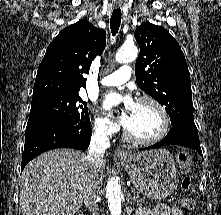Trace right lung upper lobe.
<instances>
[{"instance_id":"obj_1","label":"right lung upper lobe","mask_w":221,"mask_h":215,"mask_svg":"<svg viewBox=\"0 0 221 215\" xmlns=\"http://www.w3.org/2000/svg\"><path fill=\"white\" fill-rule=\"evenodd\" d=\"M106 32L87 20L64 28L49 44L39 65L33 101L56 94L78 93L86 85L82 74L89 73L92 60L101 55Z\"/></svg>"}]
</instances>
